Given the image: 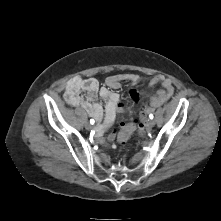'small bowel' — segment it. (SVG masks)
<instances>
[{
	"label": "small bowel",
	"mask_w": 221,
	"mask_h": 221,
	"mask_svg": "<svg viewBox=\"0 0 221 221\" xmlns=\"http://www.w3.org/2000/svg\"><path fill=\"white\" fill-rule=\"evenodd\" d=\"M141 81L142 77L137 74H117L109 76L106 79V85L100 87L98 80L95 78L84 79L76 76L67 82L64 97L69 105L82 107L89 116L98 122L95 128V135L98 138L113 141L116 133L107 134V132L115 122L118 114L125 109L119 94L114 90L120 88L123 82H129L132 86H135ZM157 84L161 85V89L152 98L151 106L153 108L160 106L174 93V86L169 78L162 75H154L149 78L151 87ZM97 97H100L105 102L104 111L101 104L96 101ZM130 97L133 102H142L146 99V94L131 90ZM149 110V108L144 109V111Z\"/></svg>",
	"instance_id": "c3829d8e"
}]
</instances>
